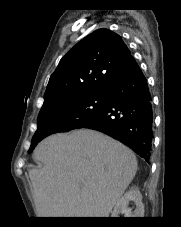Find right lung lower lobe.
I'll list each match as a JSON object with an SVG mask.
<instances>
[{
	"mask_svg": "<svg viewBox=\"0 0 181 227\" xmlns=\"http://www.w3.org/2000/svg\"><path fill=\"white\" fill-rule=\"evenodd\" d=\"M106 106L82 128L103 132L133 149L147 162L152 145V98L147 80L137 63L114 80Z\"/></svg>",
	"mask_w": 181,
	"mask_h": 227,
	"instance_id": "obj_1",
	"label": "right lung lower lobe"
}]
</instances>
